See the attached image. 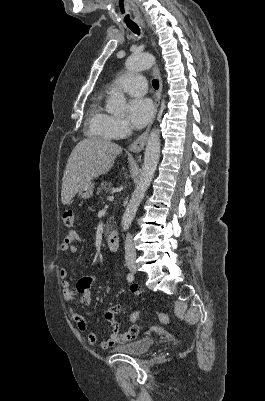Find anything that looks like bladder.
Instances as JSON below:
<instances>
[{"label": "bladder", "instance_id": "1", "mask_svg": "<svg viewBox=\"0 0 265 401\" xmlns=\"http://www.w3.org/2000/svg\"><path fill=\"white\" fill-rule=\"evenodd\" d=\"M152 344H153L152 339L144 337L135 340L130 344L116 347L113 350H117L123 353L141 354L148 351V349L151 347Z\"/></svg>", "mask_w": 265, "mask_h": 401}]
</instances>
